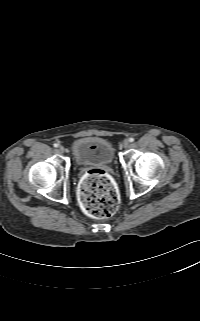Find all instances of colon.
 Here are the masks:
<instances>
[{
    "label": "colon",
    "mask_w": 200,
    "mask_h": 321,
    "mask_svg": "<svg viewBox=\"0 0 200 321\" xmlns=\"http://www.w3.org/2000/svg\"><path fill=\"white\" fill-rule=\"evenodd\" d=\"M79 199L85 212L95 218H108L118 208L119 196L105 171H88L79 185Z\"/></svg>",
    "instance_id": "obj_1"
}]
</instances>
